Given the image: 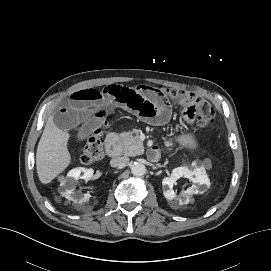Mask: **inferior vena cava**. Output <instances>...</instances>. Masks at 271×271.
Returning a JSON list of instances; mask_svg holds the SVG:
<instances>
[{
  "label": "inferior vena cava",
  "mask_w": 271,
  "mask_h": 271,
  "mask_svg": "<svg viewBox=\"0 0 271 271\" xmlns=\"http://www.w3.org/2000/svg\"><path fill=\"white\" fill-rule=\"evenodd\" d=\"M129 161L128 157H118L110 161L112 167H119L125 165Z\"/></svg>",
  "instance_id": "obj_1"
}]
</instances>
